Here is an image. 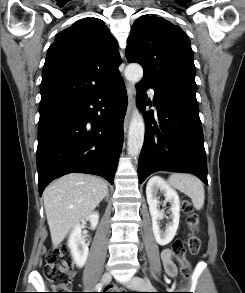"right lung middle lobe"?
Listing matches in <instances>:
<instances>
[{
    "instance_id": "dd1d6c3e",
    "label": "right lung middle lobe",
    "mask_w": 245,
    "mask_h": 293,
    "mask_svg": "<svg viewBox=\"0 0 245 293\" xmlns=\"http://www.w3.org/2000/svg\"><path fill=\"white\" fill-rule=\"evenodd\" d=\"M62 108H64V106H53V107L39 108V112H40L39 121H44L45 119L58 113Z\"/></svg>"
}]
</instances>
